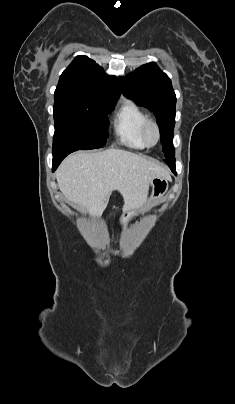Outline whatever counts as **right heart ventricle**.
<instances>
[{"label":"right heart ventricle","mask_w":235,"mask_h":404,"mask_svg":"<svg viewBox=\"0 0 235 404\" xmlns=\"http://www.w3.org/2000/svg\"><path fill=\"white\" fill-rule=\"evenodd\" d=\"M147 119V114L136 103L126 101L115 118L114 131L118 140L134 149L145 148L141 130Z\"/></svg>","instance_id":"1"}]
</instances>
